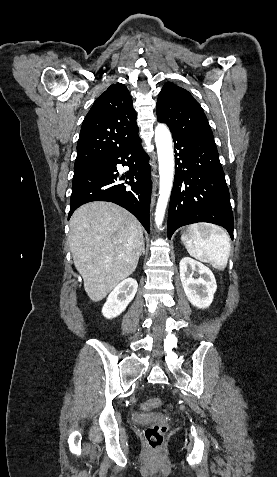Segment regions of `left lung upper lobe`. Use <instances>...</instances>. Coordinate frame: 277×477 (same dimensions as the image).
<instances>
[{
  "label": "left lung upper lobe",
  "mask_w": 277,
  "mask_h": 477,
  "mask_svg": "<svg viewBox=\"0 0 277 477\" xmlns=\"http://www.w3.org/2000/svg\"><path fill=\"white\" fill-rule=\"evenodd\" d=\"M157 119L173 131L212 134L206 115L200 104L185 89L167 83L157 100Z\"/></svg>",
  "instance_id": "left-lung-upper-lobe-1"
}]
</instances>
